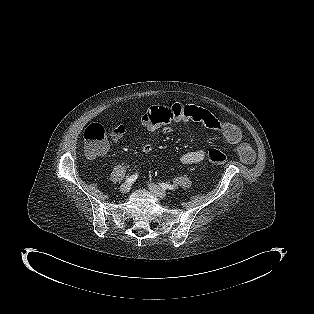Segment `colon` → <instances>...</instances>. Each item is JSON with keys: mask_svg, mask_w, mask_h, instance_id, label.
Here are the masks:
<instances>
[{"mask_svg": "<svg viewBox=\"0 0 314 314\" xmlns=\"http://www.w3.org/2000/svg\"><path fill=\"white\" fill-rule=\"evenodd\" d=\"M125 127L121 124H90L83 133L85 153L89 157H98L104 155L108 150V140L115 137ZM208 160L215 165L224 164L227 156L224 152L211 149L208 152Z\"/></svg>", "mask_w": 314, "mask_h": 314, "instance_id": "obj_1", "label": "colon"}]
</instances>
